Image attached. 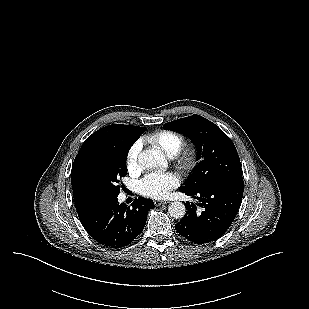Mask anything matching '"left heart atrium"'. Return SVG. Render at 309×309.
<instances>
[{"label": "left heart atrium", "instance_id": "obj_1", "mask_svg": "<svg viewBox=\"0 0 309 309\" xmlns=\"http://www.w3.org/2000/svg\"><path fill=\"white\" fill-rule=\"evenodd\" d=\"M179 184V178L173 173H149L138 184L139 192L150 198L166 197Z\"/></svg>", "mask_w": 309, "mask_h": 309}]
</instances>
